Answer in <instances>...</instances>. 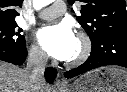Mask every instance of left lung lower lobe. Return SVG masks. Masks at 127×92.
<instances>
[{"mask_svg":"<svg viewBox=\"0 0 127 92\" xmlns=\"http://www.w3.org/2000/svg\"><path fill=\"white\" fill-rule=\"evenodd\" d=\"M106 65H118L127 68V35H104L92 45L91 55L86 62L65 72L64 76L72 78Z\"/></svg>","mask_w":127,"mask_h":92,"instance_id":"obj_1","label":"left lung lower lobe"}]
</instances>
